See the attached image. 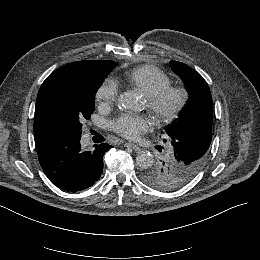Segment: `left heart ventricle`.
<instances>
[{"mask_svg": "<svg viewBox=\"0 0 260 260\" xmlns=\"http://www.w3.org/2000/svg\"><path fill=\"white\" fill-rule=\"evenodd\" d=\"M175 101H176V98H175V97H172V98L169 100L168 104H169V105H172V104L175 103ZM145 105H146V100H145Z\"/></svg>", "mask_w": 260, "mask_h": 260, "instance_id": "b2bd125f", "label": "left heart ventricle"}]
</instances>
